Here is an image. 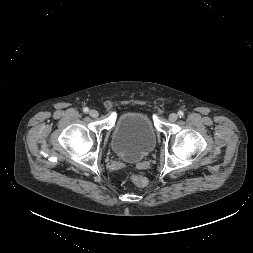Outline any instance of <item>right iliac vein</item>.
I'll return each mask as SVG.
<instances>
[{
    "instance_id": "obj_1",
    "label": "right iliac vein",
    "mask_w": 253,
    "mask_h": 253,
    "mask_svg": "<svg viewBox=\"0 0 253 253\" xmlns=\"http://www.w3.org/2000/svg\"><path fill=\"white\" fill-rule=\"evenodd\" d=\"M89 115H90L91 117H93V118H96V117H98L99 113H98L97 110L92 109V110L89 111Z\"/></svg>"
}]
</instances>
